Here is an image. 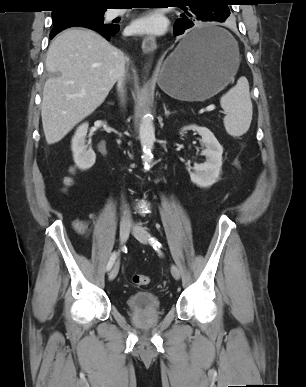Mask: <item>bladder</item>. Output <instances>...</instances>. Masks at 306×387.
<instances>
[{"instance_id": "obj_1", "label": "bladder", "mask_w": 306, "mask_h": 387, "mask_svg": "<svg viewBox=\"0 0 306 387\" xmlns=\"http://www.w3.org/2000/svg\"><path fill=\"white\" fill-rule=\"evenodd\" d=\"M126 307L132 313H159L162 304L158 296L149 291H137L126 299Z\"/></svg>"}]
</instances>
